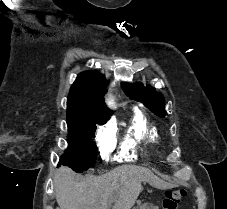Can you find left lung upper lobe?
I'll use <instances>...</instances> for the list:
<instances>
[{
	"instance_id": "5c2ea615",
	"label": "left lung upper lobe",
	"mask_w": 227,
	"mask_h": 209,
	"mask_svg": "<svg viewBox=\"0 0 227 209\" xmlns=\"http://www.w3.org/2000/svg\"><path fill=\"white\" fill-rule=\"evenodd\" d=\"M125 94L136 101L144 103L153 113L159 117H165V100L160 93H157L151 86L144 87L139 83L137 87L129 83H122Z\"/></svg>"
}]
</instances>
